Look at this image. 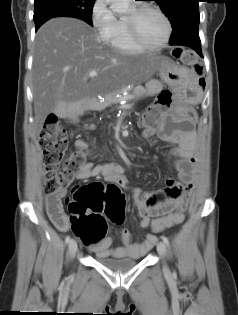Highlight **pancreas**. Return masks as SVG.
Segmentation results:
<instances>
[{"label":"pancreas","instance_id":"1","mask_svg":"<svg viewBox=\"0 0 238 315\" xmlns=\"http://www.w3.org/2000/svg\"><path fill=\"white\" fill-rule=\"evenodd\" d=\"M146 93H147V90H146L144 87H142V86H137V87H135V88L132 90V92H131L130 95H132V96L134 97V98H133L134 100H138V99H141V98L145 97V96H146ZM124 98H126V97H124ZM119 100H120V99L115 98L114 95H112V96H110V97L107 99V101L105 102V104H106V105H111V104H113V103H117Z\"/></svg>","mask_w":238,"mask_h":315}]
</instances>
